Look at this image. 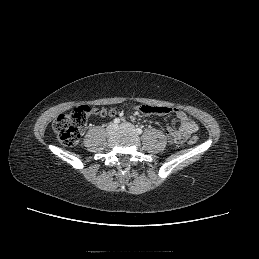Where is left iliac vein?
Wrapping results in <instances>:
<instances>
[{"instance_id": "1", "label": "left iliac vein", "mask_w": 259, "mask_h": 259, "mask_svg": "<svg viewBox=\"0 0 259 259\" xmlns=\"http://www.w3.org/2000/svg\"><path fill=\"white\" fill-rule=\"evenodd\" d=\"M120 129L136 133V129H135L134 125H132L130 123H122L120 125Z\"/></svg>"}]
</instances>
